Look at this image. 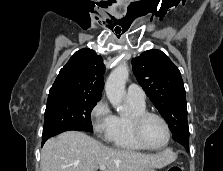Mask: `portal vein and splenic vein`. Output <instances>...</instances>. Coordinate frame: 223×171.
I'll return each instance as SVG.
<instances>
[{
    "mask_svg": "<svg viewBox=\"0 0 223 171\" xmlns=\"http://www.w3.org/2000/svg\"><path fill=\"white\" fill-rule=\"evenodd\" d=\"M99 168H100V170H104V169L106 168V166H105L104 164H101V165L99 166Z\"/></svg>",
    "mask_w": 223,
    "mask_h": 171,
    "instance_id": "18ae733b",
    "label": "portal vein and splenic vein"
}]
</instances>
